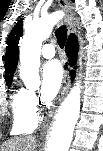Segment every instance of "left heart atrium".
<instances>
[{
	"label": "left heart atrium",
	"instance_id": "obj_1",
	"mask_svg": "<svg viewBox=\"0 0 103 151\" xmlns=\"http://www.w3.org/2000/svg\"><path fill=\"white\" fill-rule=\"evenodd\" d=\"M63 81V72L56 61L46 64L42 70L41 99L44 103L51 102L58 94Z\"/></svg>",
	"mask_w": 103,
	"mask_h": 151
}]
</instances>
